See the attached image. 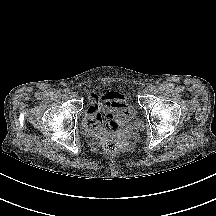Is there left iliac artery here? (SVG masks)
Returning a JSON list of instances; mask_svg holds the SVG:
<instances>
[{
  "instance_id": "obj_1",
  "label": "left iliac artery",
  "mask_w": 216,
  "mask_h": 216,
  "mask_svg": "<svg viewBox=\"0 0 216 216\" xmlns=\"http://www.w3.org/2000/svg\"><path fill=\"white\" fill-rule=\"evenodd\" d=\"M149 88L152 91V90H154L156 88V86L155 85H150Z\"/></svg>"
}]
</instances>
